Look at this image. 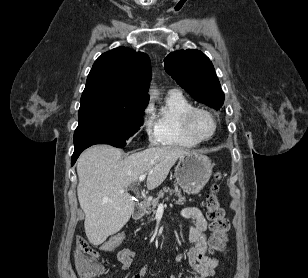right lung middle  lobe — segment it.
Wrapping results in <instances>:
<instances>
[{
    "label": "right lung middle lobe",
    "instance_id": "dd1d6c3e",
    "mask_svg": "<svg viewBox=\"0 0 308 278\" xmlns=\"http://www.w3.org/2000/svg\"><path fill=\"white\" fill-rule=\"evenodd\" d=\"M145 107L79 116V124L74 132V147L94 144L124 147L142 126Z\"/></svg>",
    "mask_w": 308,
    "mask_h": 278
}]
</instances>
